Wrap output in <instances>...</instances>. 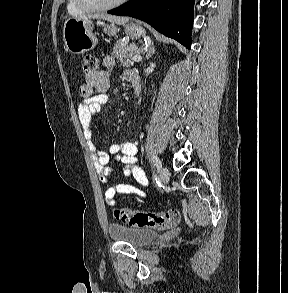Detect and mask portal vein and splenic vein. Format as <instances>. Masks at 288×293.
<instances>
[{
    "instance_id": "18ae733b",
    "label": "portal vein and splenic vein",
    "mask_w": 288,
    "mask_h": 293,
    "mask_svg": "<svg viewBox=\"0 0 288 293\" xmlns=\"http://www.w3.org/2000/svg\"><path fill=\"white\" fill-rule=\"evenodd\" d=\"M142 60L141 56L140 55H134L132 57V61L133 62H140Z\"/></svg>"
}]
</instances>
